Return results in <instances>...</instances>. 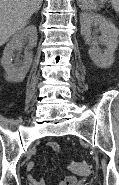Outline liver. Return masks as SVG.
<instances>
[{
    "label": "liver",
    "instance_id": "obj_1",
    "mask_svg": "<svg viewBox=\"0 0 119 185\" xmlns=\"http://www.w3.org/2000/svg\"><path fill=\"white\" fill-rule=\"evenodd\" d=\"M43 0H0V46L24 28Z\"/></svg>",
    "mask_w": 119,
    "mask_h": 185
}]
</instances>
